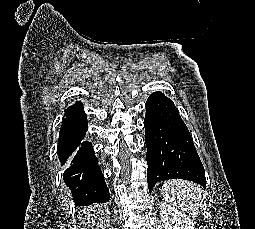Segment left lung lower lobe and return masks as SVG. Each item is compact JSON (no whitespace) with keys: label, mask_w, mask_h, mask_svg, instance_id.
Instances as JSON below:
<instances>
[{"label":"left lung lower lobe","mask_w":255,"mask_h":229,"mask_svg":"<svg viewBox=\"0 0 255 229\" xmlns=\"http://www.w3.org/2000/svg\"><path fill=\"white\" fill-rule=\"evenodd\" d=\"M145 108L149 192L158 181L174 178L206 188L204 167L173 101L158 91L149 96Z\"/></svg>","instance_id":"obj_1"}]
</instances>
